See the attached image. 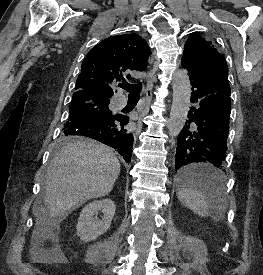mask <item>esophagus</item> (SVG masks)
Returning a JSON list of instances; mask_svg holds the SVG:
<instances>
[{"label":"esophagus","mask_w":263,"mask_h":275,"mask_svg":"<svg viewBox=\"0 0 263 275\" xmlns=\"http://www.w3.org/2000/svg\"><path fill=\"white\" fill-rule=\"evenodd\" d=\"M155 77L149 76L147 80V88H146V97L148 100L151 99L152 96V89H153V84L155 82Z\"/></svg>","instance_id":"obj_1"}]
</instances>
